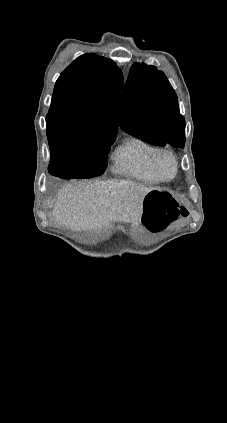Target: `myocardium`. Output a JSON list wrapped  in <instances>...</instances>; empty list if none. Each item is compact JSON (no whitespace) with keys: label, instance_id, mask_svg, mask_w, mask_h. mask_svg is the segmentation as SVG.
Returning a JSON list of instances; mask_svg holds the SVG:
<instances>
[{"label":"myocardium","instance_id":"1","mask_svg":"<svg viewBox=\"0 0 227 423\" xmlns=\"http://www.w3.org/2000/svg\"><path fill=\"white\" fill-rule=\"evenodd\" d=\"M161 154L167 155L171 159V161L173 163V173H172V175L170 177H166L162 173V171H161V169L159 167L158 157ZM151 165H152V168L155 171V173L162 180H166V181L172 180L177 175V172H178V159H177V156L174 153V151H172L171 149H168V148H156V149H154V151L152 152V155H151Z\"/></svg>","mask_w":227,"mask_h":423}]
</instances>
